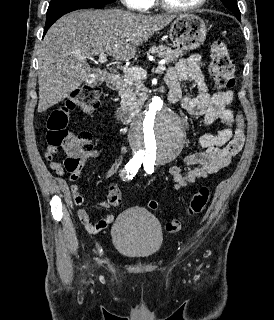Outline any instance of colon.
I'll use <instances>...</instances> for the list:
<instances>
[{"label": "colon", "mask_w": 274, "mask_h": 320, "mask_svg": "<svg viewBox=\"0 0 274 320\" xmlns=\"http://www.w3.org/2000/svg\"><path fill=\"white\" fill-rule=\"evenodd\" d=\"M210 71L216 83L222 89H229L234 84L235 67L226 44L220 40L211 47ZM99 102V90L97 86L90 85L75 91L66 105L55 107L49 115L46 123L47 144H53V149H64L68 156L64 159V168L68 173L74 174L81 167L82 158L93 149V136L88 131L71 132L67 127L70 113L76 109L85 112H94ZM48 149V145H47ZM108 200L113 207H118L122 202L119 187L113 183ZM209 189L206 186L197 190L191 198L187 210L190 215L201 213L208 202ZM147 207L151 210H158L159 203L150 199ZM181 224L178 219H171L166 222L165 229L168 233L180 231Z\"/></svg>", "instance_id": "1"}]
</instances>
